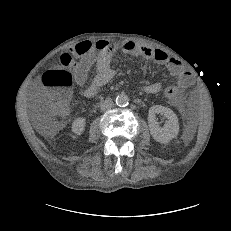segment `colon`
Here are the masks:
<instances>
[{
    "label": "colon",
    "instance_id": "1",
    "mask_svg": "<svg viewBox=\"0 0 231 231\" xmlns=\"http://www.w3.org/2000/svg\"><path fill=\"white\" fill-rule=\"evenodd\" d=\"M45 87V95L48 101V111L56 117L66 113L70 105L72 74L66 69H54L46 71L42 76ZM179 95V89L174 84L164 87V96L168 100H174Z\"/></svg>",
    "mask_w": 231,
    "mask_h": 231
}]
</instances>
